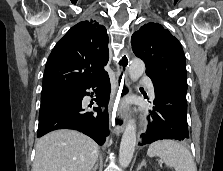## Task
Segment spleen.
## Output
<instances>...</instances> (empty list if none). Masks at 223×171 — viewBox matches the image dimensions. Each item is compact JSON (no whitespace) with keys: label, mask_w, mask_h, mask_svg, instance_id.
Returning <instances> with one entry per match:
<instances>
[{"label":"spleen","mask_w":223,"mask_h":171,"mask_svg":"<svg viewBox=\"0 0 223 171\" xmlns=\"http://www.w3.org/2000/svg\"><path fill=\"white\" fill-rule=\"evenodd\" d=\"M149 157H160L166 166L175 171H197L190 151L173 140H160L152 143L147 151Z\"/></svg>","instance_id":"spleen-1"}]
</instances>
